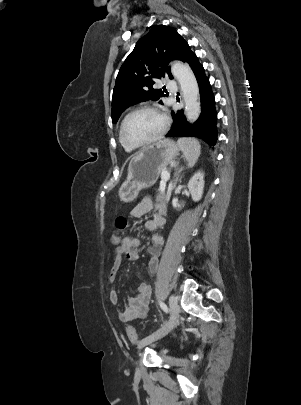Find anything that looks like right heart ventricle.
I'll return each instance as SVG.
<instances>
[{
    "instance_id": "right-heart-ventricle-1",
    "label": "right heart ventricle",
    "mask_w": 301,
    "mask_h": 405,
    "mask_svg": "<svg viewBox=\"0 0 301 405\" xmlns=\"http://www.w3.org/2000/svg\"><path fill=\"white\" fill-rule=\"evenodd\" d=\"M119 140H120L121 145L123 146V148H124L126 151L131 152L132 150H134L133 148H130V147H128L127 145H125V144L122 142L120 136H119Z\"/></svg>"
}]
</instances>
